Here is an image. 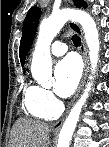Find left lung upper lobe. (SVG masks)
<instances>
[{"label": "left lung upper lobe", "instance_id": "left-lung-upper-lobe-1", "mask_svg": "<svg viewBox=\"0 0 109 147\" xmlns=\"http://www.w3.org/2000/svg\"><path fill=\"white\" fill-rule=\"evenodd\" d=\"M74 4L77 7L86 8V3L83 0H74ZM41 15V10L38 7H32L24 20L23 23V35L20 42V61L24 64L25 57L32 45L35 37L36 28Z\"/></svg>", "mask_w": 109, "mask_h": 147}]
</instances>
